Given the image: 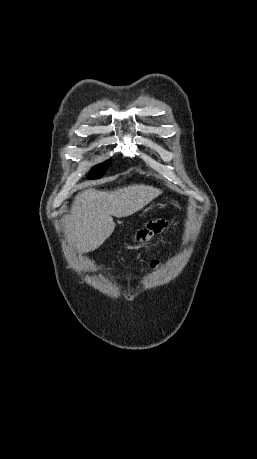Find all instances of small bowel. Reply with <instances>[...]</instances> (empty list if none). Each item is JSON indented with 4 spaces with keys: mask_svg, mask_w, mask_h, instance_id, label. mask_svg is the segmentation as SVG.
<instances>
[{
    "mask_svg": "<svg viewBox=\"0 0 257 459\" xmlns=\"http://www.w3.org/2000/svg\"><path fill=\"white\" fill-rule=\"evenodd\" d=\"M149 223H145L144 230H139L136 237L137 244H146L147 239H150L152 236L151 232H156V234H161V227L168 224V219L166 217H161L159 220L149 219ZM156 230V231H155Z\"/></svg>",
    "mask_w": 257,
    "mask_h": 459,
    "instance_id": "1",
    "label": "small bowel"
}]
</instances>
